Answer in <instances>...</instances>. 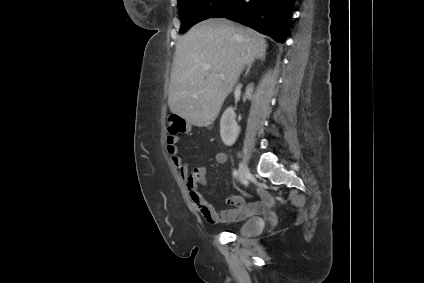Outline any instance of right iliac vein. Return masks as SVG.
I'll list each match as a JSON object with an SVG mask.
<instances>
[{
    "mask_svg": "<svg viewBox=\"0 0 424 283\" xmlns=\"http://www.w3.org/2000/svg\"><path fill=\"white\" fill-rule=\"evenodd\" d=\"M248 173H249L248 166L245 161H242L239 165V170H238L239 180L241 183L246 182Z\"/></svg>",
    "mask_w": 424,
    "mask_h": 283,
    "instance_id": "1",
    "label": "right iliac vein"
}]
</instances>
